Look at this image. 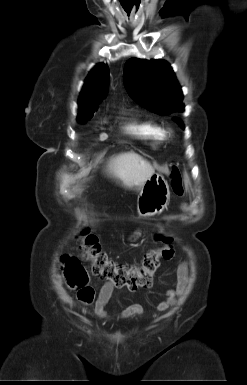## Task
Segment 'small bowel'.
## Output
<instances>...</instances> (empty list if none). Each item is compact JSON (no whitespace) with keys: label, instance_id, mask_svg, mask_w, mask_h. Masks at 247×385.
Wrapping results in <instances>:
<instances>
[{"label":"small bowel","instance_id":"small-bowel-1","mask_svg":"<svg viewBox=\"0 0 247 385\" xmlns=\"http://www.w3.org/2000/svg\"><path fill=\"white\" fill-rule=\"evenodd\" d=\"M188 281V265L182 262L177 267V285L175 289L165 292L163 300L157 305V311L164 312L176 306L177 299L185 290ZM115 286L110 282H105L101 287L98 298L95 302L93 311L98 318L107 319L108 313L106 306L113 294ZM143 313V307L140 304H132L122 310L121 316L124 319L140 316Z\"/></svg>","mask_w":247,"mask_h":385}]
</instances>
